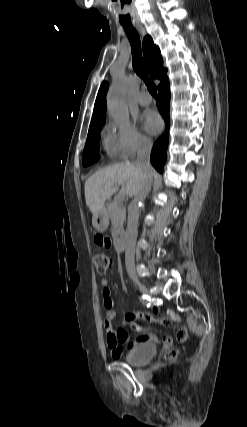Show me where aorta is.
Returning <instances> with one entry per match:
<instances>
[{
	"label": "aorta",
	"instance_id": "obj_1",
	"mask_svg": "<svg viewBox=\"0 0 247 427\" xmlns=\"http://www.w3.org/2000/svg\"><path fill=\"white\" fill-rule=\"evenodd\" d=\"M126 92V77L123 74H119L114 79L107 95L109 116L118 123L129 122V112L125 102Z\"/></svg>",
	"mask_w": 247,
	"mask_h": 427
}]
</instances>
